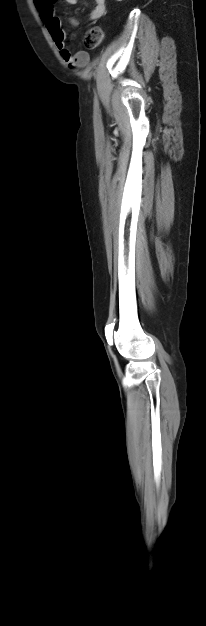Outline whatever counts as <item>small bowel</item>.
<instances>
[{"label": "small bowel", "instance_id": "small-bowel-1", "mask_svg": "<svg viewBox=\"0 0 206 626\" xmlns=\"http://www.w3.org/2000/svg\"><path fill=\"white\" fill-rule=\"evenodd\" d=\"M65 1L69 4L77 2V0ZM94 2L95 6L89 15V18L91 20H99L105 15L106 0H94ZM53 3V0H35V4L40 11V16L64 62L69 67H85L89 63V54L86 51L72 52L70 46L66 42V33L61 27V21L55 15ZM70 22L73 25L77 24L74 19H70Z\"/></svg>", "mask_w": 206, "mask_h": 626}]
</instances>
